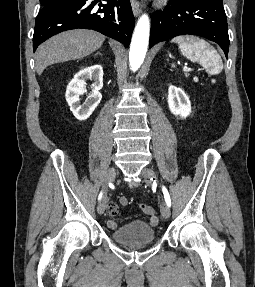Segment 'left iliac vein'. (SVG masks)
<instances>
[{"label": "left iliac vein", "instance_id": "4c4485c4", "mask_svg": "<svg viewBox=\"0 0 255 287\" xmlns=\"http://www.w3.org/2000/svg\"><path fill=\"white\" fill-rule=\"evenodd\" d=\"M141 176L146 184H150L152 180H154L153 178L155 177V172L152 169L145 167L141 172ZM160 211L161 215L165 219L170 217V208L164 200L161 202Z\"/></svg>", "mask_w": 255, "mask_h": 287}]
</instances>
